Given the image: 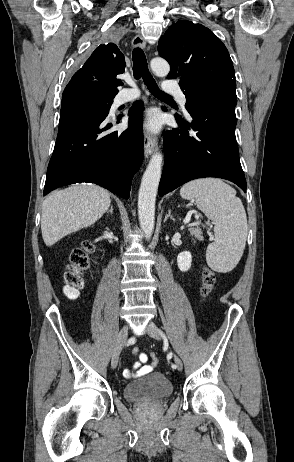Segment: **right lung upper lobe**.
I'll return each mask as SVG.
<instances>
[{
  "label": "right lung upper lobe",
  "instance_id": "1",
  "mask_svg": "<svg viewBox=\"0 0 294 462\" xmlns=\"http://www.w3.org/2000/svg\"><path fill=\"white\" fill-rule=\"evenodd\" d=\"M124 69V55L117 45H100L73 75L63 92V98L74 93L115 96L118 93L117 87L122 84L116 76L122 74Z\"/></svg>",
  "mask_w": 294,
  "mask_h": 462
}]
</instances>
